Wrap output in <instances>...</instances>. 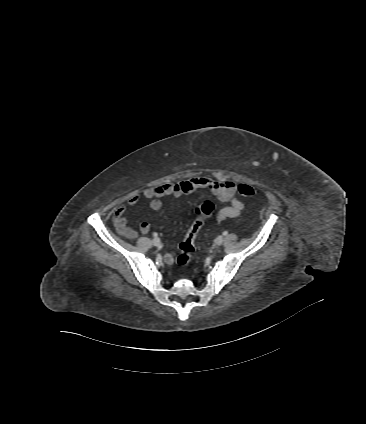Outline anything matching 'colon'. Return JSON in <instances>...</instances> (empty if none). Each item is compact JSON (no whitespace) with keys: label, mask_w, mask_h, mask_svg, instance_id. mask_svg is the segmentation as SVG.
Returning <instances> with one entry per match:
<instances>
[{"label":"colon","mask_w":366,"mask_h":424,"mask_svg":"<svg viewBox=\"0 0 366 424\" xmlns=\"http://www.w3.org/2000/svg\"><path fill=\"white\" fill-rule=\"evenodd\" d=\"M237 190L244 198L252 197L255 194L254 188L245 183L239 184ZM214 210L215 205L210 200H206L197 206L195 210V219L189 227L183 241L179 245L177 265L181 270H185L192 262L193 253L196 249V238L205 221L213 214Z\"/></svg>","instance_id":"5ec220e1"}]
</instances>
